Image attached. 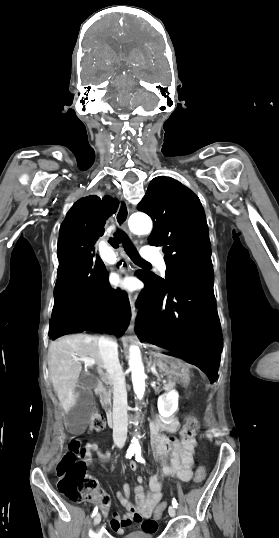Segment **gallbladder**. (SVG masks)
<instances>
[{
    "mask_svg": "<svg viewBox=\"0 0 279 538\" xmlns=\"http://www.w3.org/2000/svg\"><path fill=\"white\" fill-rule=\"evenodd\" d=\"M101 380L93 374L81 372L75 392H80V402L68 413V420L71 422L69 429L71 433H82L83 429L91 421V410H95L97 403L89 390L93 386L97 387Z\"/></svg>",
    "mask_w": 279,
    "mask_h": 538,
    "instance_id": "obj_1",
    "label": "gallbladder"
}]
</instances>
